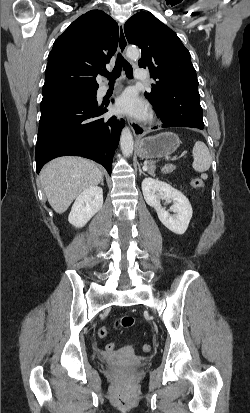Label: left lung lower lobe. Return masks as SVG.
Segmentation results:
<instances>
[{"label": "left lung lower lobe", "instance_id": "obj_1", "mask_svg": "<svg viewBox=\"0 0 250 413\" xmlns=\"http://www.w3.org/2000/svg\"><path fill=\"white\" fill-rule=\"evenodd\" d=\"M171 93L170 98H155L146 94L148 100L156 108L157 116L163 122L162 127H192L202 130L204 128L203 112L198 89L186 86Z\"/></svg>", "mask_w": 250, "mask_h": 413}]
</instances>
